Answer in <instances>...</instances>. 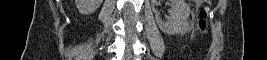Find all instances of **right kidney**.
<instances>
[{"label": "right kidney", "mask_w": 267, "mask_h": 60, "mask_svg": "<svg viewBox=\"0 0 267 60\" xmlns=\"http://www.w3.org/2000/svg\"><path fill=\"white\" fill-rule=\"evenodd\" d=\"M103 0H75L78 11L83 15H90L101 5Z\"/></svg>", "instance_id": "ca27d5eb"}]
</instances>
